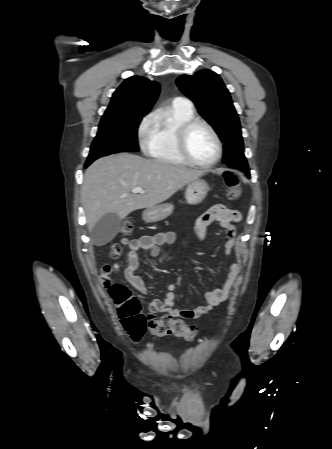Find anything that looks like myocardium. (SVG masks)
Here are the masks:
<instances>
[{"instance_id": "obj_1", "label": "myocardium", "mask_w": 332, "mask_h": 449, "mask_svg": "<svg viewBox=\"0 0 332 449\" xmlns=\"http://www.w3.org/2000/svg\"><path fill=\"white\" fill-rule=\"evenodd\" d=\"M197 125H202L204 126L206 129H208V131L211 133L215 144H216V155L214 157V159L208 163H201L196 161L190 154L189 150H188V145H187V138H188V134L190 132V130L197 126ZM176 146H177V150L179 152V154L181 155V157L189 164L199 167V168H211L214 165H216L221 157H222V152H223V146H222V142L221 139L217 133V131L215 130V128L207 121L203 120V119H199V118H192L186 122H184L183 124H181L178 129H177V133H176Z\"/></svg>"}]
</instances>
